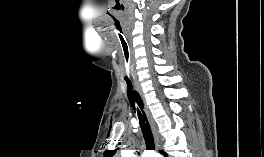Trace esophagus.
Instances as JSON below:
<instances>
[{"mask_svg": "<svg viewBox=\"0 0 264 157\" xmlns=\"http://www.w3.org/2000/svg\"><path fill=\"white\" fill-rule=\"evenodd\" d=\"M136 90L140 92V94H141V96H142V99H143V101H144V103H145L144 96H143L141 90H140L139 88H137V87H136ZM145 111H146V113L149 115V112H148V109H147L146 104H145ZM153 128H154V127H153ZM155 137H156V135H155Z\"/></svg>", "mask_w": 264, "mask_h": 157, "instance_id": "1", "label": "esophagus"}]
</instances>
